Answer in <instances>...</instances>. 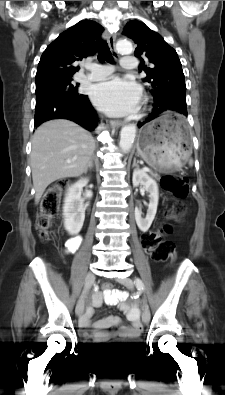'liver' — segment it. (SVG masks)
<instances>
[{"instance_id": "1", "label": "liver", "mask_w": 225, "mask_h": 395, "mask_svg": "<svg viewBox=\"0 0 225 395\" xmlns=\"http://www.w3.org/2000/svg\"><path fill=\"white\" fill-rule=\"evenodd\" d=\"M94 149L91 133L75 122L55 119L39 126L30 155L35 203L52 182L83 174Z\"/></svg>"}]
</instances>
